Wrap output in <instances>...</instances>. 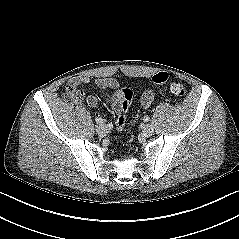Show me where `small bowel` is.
<instances>
[{"mask_svg": "<svg viewBox=\"0 0 239 239\" xmlns=\"http://www.w3.org/2000/svg\"><path fill=\"white\" fill-rule=\"evenodd\" d=\"M90 78L87 76H78L71 80L76 86L85 85L89 83ZM96 85L102 90H112L113 92L108 94L106 99L111 104L112 109L115 113H119L121 111V103H122V92L119 89V83L114 78H99L96 80ZM154 100V94L151 91L146 92L141 98V104L144 107H149ZM86 102L90 107H94L97 105L98 99L95 95H88L86 98Z\"/></svg>", "mask_w": 239, "mask_h": 239, "instance_id": "c3829d8e", "label": "small bowel"}]
</instances>
